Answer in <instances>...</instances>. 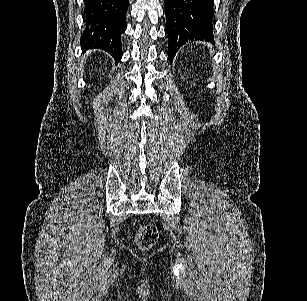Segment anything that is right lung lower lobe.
I'll list each match as a JSON object with an SVG mask.
<instances>
[{
    "label": "right lung lower lobe",
    "instance_id": "obj_1",
    "mask_svg": "<svg viewBox=\"0 0 307 301\" xmlns=\"http://www.w3.org/2000/svg\"><path fill=\"white\" fill-rule=\"evenodd\" d=\"M128 0H85L83 50L102 49L121 60V35L126 30Z\"/></svg>",
    "mask_w": 307,
    "mask_h": 301
}]
</instances>
